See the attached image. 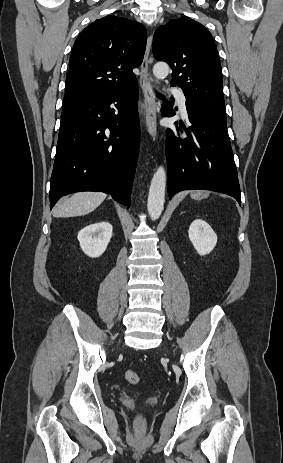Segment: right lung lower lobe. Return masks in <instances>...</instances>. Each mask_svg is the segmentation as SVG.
I'll return each mask as SVG.
<instances>
[{"label": "right lung lower lobe", "instance_id": "obj_1", "mask_svg": "<svg viewBox=\"0 0 283 463\" xmlns=\"http://www.w3.org/2000/svg\"><path fill=\"white\" fill-rule=\"evenodd\" d=\"M137 103L134 83L62 112L50 208L80 191L105 192L130 205L140 141Z\"/></svg>", "mask_w": 283, "mask_h": 463}]
</instances>
